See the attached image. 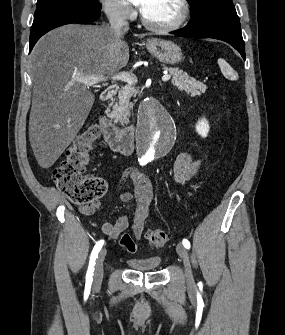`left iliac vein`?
<instances>
[{
	"label": "left iliac vein",
	"instance_id": "obj_1",
	"mask_svg": "<svg viewBox=\"0 0 285 335\" xmlns=\"http://www.w3.org/2000/svg\"><path fill=\"white\" fill-rule=\"evenodd\" d=\"M177 253L181 257L184 268H185V279L188 285L194 282L193 272L190 264V258L187 249L182 244H177L176 246Z\"/></svg>",
	"mask_w": 285,
	"mask_h": 335
}]
</instances>
